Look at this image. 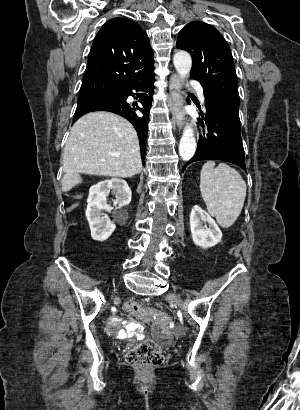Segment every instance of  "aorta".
Instances as JSON below:
<instances>
[{"label": "aorta", "instance_id": "obj_1", "mask_svg": "<svg viewBox=\"0 0 300 410\" xmlns=\"http://www.w3.org/2000/svg\"><path fill=\"white\" fill-rule=\"evenodd\" d=\"M173 63L180 78L184 80L190 73L192 67V59L188 52L178 51L175 53ZM196 139L193 129L187 125L183 131V135L179 144V155L187 161L190 160L196 151Z\"/></svg>", "mask_w": 300, "mask_h": 410}]
</instances>
